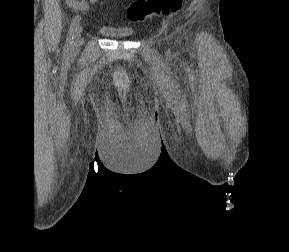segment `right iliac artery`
<instances>
[{
  "label": "right iliac artery",
  "mask_w": 289,
  "mask_h": 252,
  "mask_svg": "<svg viewBox=\"0 0 289 252\" xmlns=\"http://www.w3.org/2000/svg\"><path fill=\"white\" fill-rule=\"evenodd\" d=\"M81 19L80 15H77L73 18L70 27H69V31H68V36H67V40H66V44L64 47V51L65 53H69L72 49V43H73V37H74V33L76 31V28L79 24V21Z\"/></svg>",
  "instance_id": "obj_1"
}]
</instances>
